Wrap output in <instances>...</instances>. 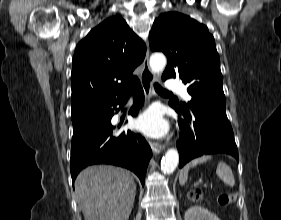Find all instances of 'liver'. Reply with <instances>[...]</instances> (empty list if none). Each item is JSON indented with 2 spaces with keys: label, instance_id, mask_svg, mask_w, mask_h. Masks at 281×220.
Segmentation results:
<instances>
[{
  "label": "liver",
  "instance_id": "liver-1",
  "mask_svg": "<svg viewBox=\"0 0 281 220\" xmlns=\"http://www.w3.org/2000/svg\"><path fill=\"white\" fill-rule=\"evenodd\" d=\"M75 193L85 220H128L136 185L129 171L96 165L79 173Z\"/></svg>",
  "mask_w": 281,
  "mask_h": 220
}]
</instances>
